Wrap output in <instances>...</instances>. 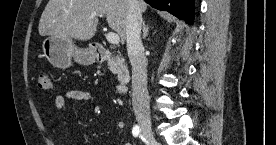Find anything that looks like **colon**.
<instances>
[{
	"label": "colon",
	"instance_id": "obj_1",
	"mask_svg": "<svg viewBox=\"0 0 276 145\" xmlns=\"http://www.w3.org/2000/svg\"><path fill=\"white\" fill-rule=\"evenodd\" d=\"M37 88L40 90H50L53 87L51 76L48 72L42 71L38 74Z\"/></svg>",
	"mask_w": 276,
	"mask_h": 145
}]
</instances>
